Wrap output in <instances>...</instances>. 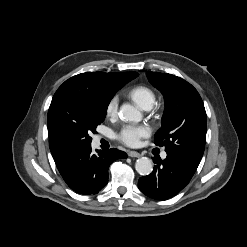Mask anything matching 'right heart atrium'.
I'll return each mask as SVG.
<instances>
[{"mask_svg": "<svg viewBox=\"0 0 247 247\" xmlns=\"http://www.w3.org/2000/svg\"><path fill=\"white\" fill-rule=\"evenodd\" d=\"M118 112V99L117 97H112L105 108V113L108 117H115Z\"/></svg>", "mask_w": 247, "mask_h": 247, "instance_id": "obj_1", "label": "right heart atrium"}]
</instances>
